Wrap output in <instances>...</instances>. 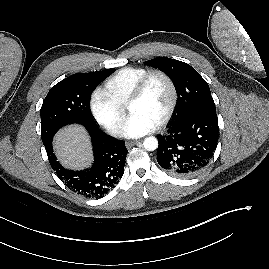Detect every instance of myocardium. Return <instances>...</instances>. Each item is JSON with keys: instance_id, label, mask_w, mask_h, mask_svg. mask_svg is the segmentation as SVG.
I'll list each match as a JSON object with an SVG mask.
<instances>
[{"instance_id": "obj_1", "label": "myocardium", "mask_w": 269, "mask_h": 269, "mask_svg": "<svg viewBox=\"0 0 269 269\" xmlns=\"http://www.w3.org/2000/svg\"><path fill=\"white\" fill-rule=\"evenodd\" d=\"M159 76L161 78H163L170 89V102L168 105V108L166 110V112L164 113L163 117L160 119V121L156 124L157 128H160L162 126H164L171 118V116L173 115L177 102H178V90H177V86L175 81L173 80V78L166 72L162 71V70H152L147 72L136 84V86L134 87L128 101H127V106L129 108V106L138 101L139 99L142 98V96L144 95L150 81L156 77Z\"/></svg>"}]
</instances>
